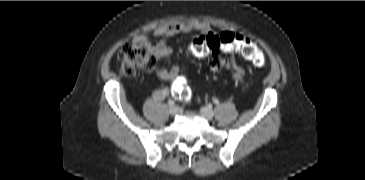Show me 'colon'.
Returning <instances> with one entry per match:
<instances>
[{
  "label": "colon",
  "instance_id": "1",
  "mask_svg": "<svg viewBox=\"0 0 365 180\" xmlns=\"http://www.w3.org/2000/svg\"><path fill=\"white\" fill-rule=\"evenodd\" d=\"M222 50L228 53H240L243 58L257 67L265 63L262 50L252 41L233 33H220L208 35L199 41H193L189 53L203 57L209 52ZM119 73L124 77H134L141 70L150 71L156 64V59L151 50L140 41H130L122 45L117 54ZM174 97L189 101L191 93L185 80L178 79L172 87Z\"/></svg>",
  "mask_w": 365,
  "mask_h": 180
}]
</instances>
